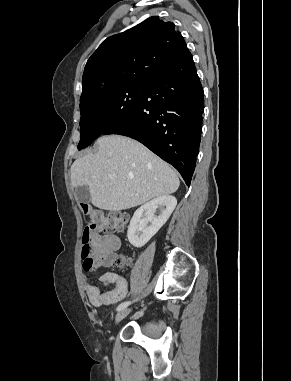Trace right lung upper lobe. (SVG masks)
<instances>
[{"label":"right lung upper lobe","mask_w":291,"mask_h":381,"mask_svg":"<svg viewBox=\"0 0 291 381\" xmlns=\"http://www.w3.org/2000/svg\"><path fill=\"white\" fill-rule=\"evenodd\" d=\"M185 49L175 25L158 16L107 38L86 63L80 103L107 88L146 83Z\"/></svg>","instance_id":"cb5924a9"}]
</instances>
